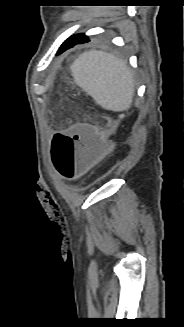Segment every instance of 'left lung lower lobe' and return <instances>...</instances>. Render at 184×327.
Instances as JSON below:
<instances>
[{
  "label": "left lung lower lobe",
  "instance_id": "left-lung-lower-lobe-1",
  "mask_svg": "<svg viewBox=\"0 0 184 327\" xmlns=\"http://www.w3.org/2000/svg\"><path fill=\"white\" fill-rule=\"evenodd\" d=\"M89 38L85 35L82 36V34L73 35L70 38H68L63 44L60 46L58 50V54H61L62 52L66 51L67 49L73 47L76 44H83L89 42Z\"/></svg>",
  "mask_w": 184,
  "mask_h": 327
}]
</instances>
